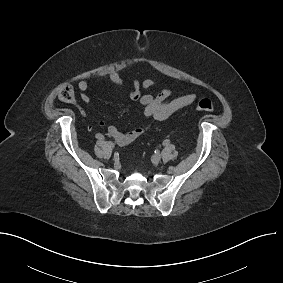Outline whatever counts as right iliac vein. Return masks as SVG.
I'll return each mask as SVG.
<instances>
[{"label": "right iliac vein", "instance_id": "obj_1", "mask_svg": "<svg viewBox=\"0 0 283 283\" xmlns=\"http://www.w3.org/2000/svg\"><path fill=\"white\" fill-rule=\"evenodd\" d=\"M108 146L110 147V148H114V144L112 143V142H108Z\"/></svg>", "mask_w": 283, "mask_h": 283}]
</instances>
